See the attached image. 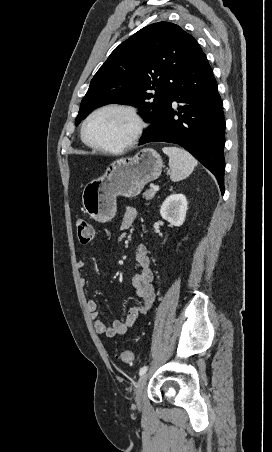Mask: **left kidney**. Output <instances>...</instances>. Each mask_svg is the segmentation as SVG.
Returning a JSON list of instances; mask_svg holds the SVG:
<instances>
[{"label":"left kidney","mask_w":272,"mask_h":452,"mask_svg":"<svg viewBox=\"0 0 272 452\" xmlns=\"http://www.w3.org/2000/svg\"><path fill=\"white\" fill-rule=\"evenodd\" d=\"M187 210L188 202L185 195L181 193H173L162 203L160 215L171 225L179 227L185 221Z\"/></svg>","instance_id":"1"}]
</instances>
